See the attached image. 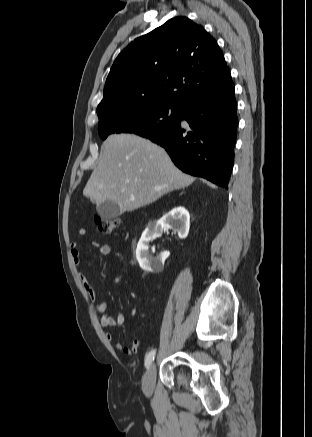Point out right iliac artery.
Masks as SVG:
<instances>
[{
    "label": "right iliac artery",
    "instance_id": "1",
    "mask_svg": "<svg viewBox=\"0 0 312 437\" xmlns=\"http://www.w3.org/2000/svg\"><path fill=\"white\" fill-rule=\"evenodd\" d=\"M155 354H156V350L155 349L151 350L147 354L146 359H145V366H146V368H148L150 366V364L152 363V361L154 360Z\"/></svg>",
    "mask_w": 312,
    "mask_h": 437
}]
</instances>
